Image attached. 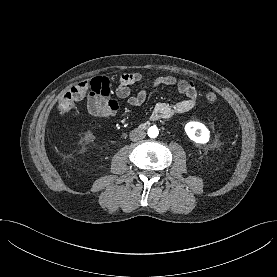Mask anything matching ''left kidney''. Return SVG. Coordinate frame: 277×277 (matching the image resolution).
<instances>
[{
    "instance_id": "5707ae66",
    "label": "left kidney",
    "mask_w": 277,
    "mask_h": 277,
    "mask_svg": "<svg viewBox=\"0 0 277 277\" xmlns=\"http://www.w3.org/2000/svg\"><path fill=\"white\" fill-rule=\"evenodd\" d=\"M187 136L197 144H205L209 141L210 131L201 122L191 121L185 125Z\"/></svg>"
}]
</instances>
